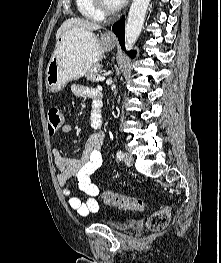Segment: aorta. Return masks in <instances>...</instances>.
<instances>
[{
    "mask_svg": "<svg viewBox=\"0 0 221 263\" xmlns=\"http://www.w3.org/2000/svg\"><path fill=\"white\" fill-rule=\"evenodd\" d=\"M149 3L150 0L132 1L125 28L126 49L132 48L140 36Z\"/></svg>",
    "mask_w": 221,
    "mask_h": 263,
    "instance_id": "aorta-1",
    "label": "aorta"
}]
</instances>
